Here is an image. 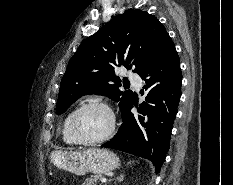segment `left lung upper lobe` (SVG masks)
I'll list each match as a JSON object with an SVG mask.
<instances>
[{
    "label": "left lung upper lobe",
    "instance_id": "1",
    "mask_svg": "<svg viewBox=\"0 0 233 185\" xmlns=\"http://www.w3.org/2000/svg\"><path fill=\"white\" fill-rule=\"evenodd\" d=\"M168 36L159 20L145 11L129 9L112 18L85 39L71 58L61 81L56 113H64L81 96L95 93L119 101L123 116L132 92L118 89L121 80L114 68L125 66L140 74Z\"/></svg>",
    "mask_w": 233,
    "mask_h": 185
}]
</instances>
